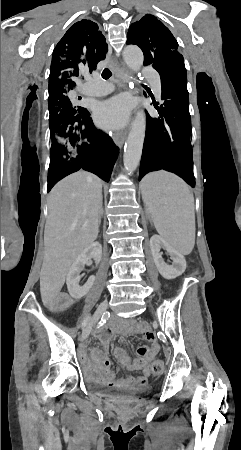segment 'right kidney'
Returning a JSON list of instances; mask_svg holds the SVG:
<instances>
[{"instance_id": "ca27d5eb", "label": "right kidney", "mask_w": 241, "mask_h": 450, "mask_svg": "<svg viewBox=\"0 0 241 450\" xmlns=\"http://www.w3.org/2000/svg\"><path fill=\"white\" fill-rule=\"evenodd\" d=\"M91 258H93L95 264H99V262H101L102 246L99 242H94V244H91V246H88V248L82 250L81 254H79L75 262H73L67 274L66 284L68 292L74 300H80V298L86 296L95 282V276H90L84 286H79V282L82 278V276H80V272L83 270L85 264H89V260H91Z\"/></svg>"}]
</instances>
